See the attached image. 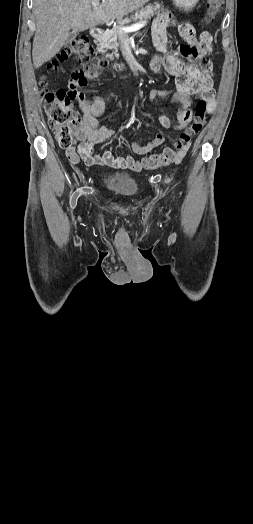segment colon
<instances>
[{
  "mask_svg": "<svg viewBox=\"0 0 253 524\" xmlns=\"http://www.w3.org/2000/svg\"><path fill=\"white\" fill-rule=\"evenodd\" d=\"M221 0H207V20L212 21L220 11ZM181 50V49H180ZM73 58L81 64L68 78L69 89L52 90L46 86L45 80L41 82L42 102L48 116L49 126L55 134L56 140L61 148H72L75 143V132L82 127L78 118L75 103H80V88L86 86L89 81L100 78L104 69L109 64L108 53L93 54L89 36L82 34L77 36L61 55V59ZM55 65H51V68ZM208 111L205 100L197 103L194 117L190 126L171 146L166 147L161 153L151 155L143 160L146 169H157L166 167L172 163L179 162L184 156L192 138L197 135L208 119Z\"/></svg>",
  "mask_w": 253,
  "mask_h": 524,
  "instance_id": "obj_1",
  "label": "colon"
}]
</instances>
